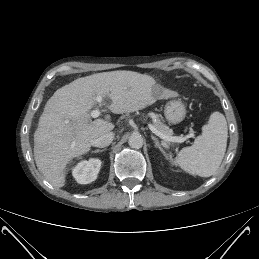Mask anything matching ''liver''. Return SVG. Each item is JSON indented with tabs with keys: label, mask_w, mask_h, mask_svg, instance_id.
<instances>
[{
	"label": "liver",
	"mask_w": 259,
	"mask_h": 259,
	"mask_svg": "<svg viewBox=\"0 0 259 259\" xmlns=\"http://www.w3.org/2000/svg\"><path fill=\"white\" fill-rule=\"evenodd\" d=\"M153 77L133 71H111L78 78L59 88L47 101L34 133V159L39 171L56 188L65 185V167L86 154L93 139L110 132V116L90 119L96 96L111 100L115 114L131 113L152 105L157 98L176 97L164 90L158 96Z\"/></svg>",
	"instance_id": "1"
}]
</instances>
